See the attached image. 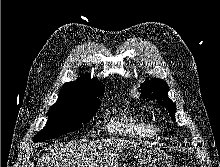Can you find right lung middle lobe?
Instances as JSON below:
<instances>
[{
  "label": "right lung middle lobe",
  "mask_w": 220,
  "mask_h": 167,
  "mask_svg": "<svg viewBox=\"0 0 220 167\" xmlns=\"http://www.w3.org/2000/svg\"><path fill=\"white\" fill-rule=\"evenodd\" d=\"M100 105L97 98H75L57 101L50 107L48 122L44 129L35 135L34 142L54 139L67 132L79 129L88 123Z\"/></svg>",
  "instance_id": "right-lung-middle-lobe-1"
}]
</instances>
